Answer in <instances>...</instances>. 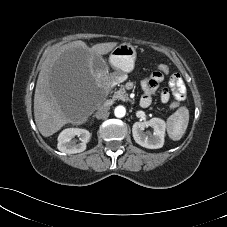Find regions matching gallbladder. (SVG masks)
Here are the masks:
<instances>
[{"instance_id":"obj_1","label":"gallbladder","mask_w":227,"mask_h":227,"mask_svg":"<svg viewBox=\"0 0 227 227\" xmlns=\"http://www.w3.org/2000/svg\"><path fill=\"white\" fill-rule=\"evenodd\" d=\"M93 69L97 73L104 74L107 72L108 67L105 62L102 61V58L99 56L93 57Z\"/></svg>"}]
</instances>
